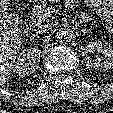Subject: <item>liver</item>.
I'll return each mask as SVG.
<instances>
[{"instance_id": "liver-1", "label": "liver", "mask_w": 113, "mask_h": 113, "mask_svg": "<svg viewBox=\"0 0 113 113\" xmlns=\"http://www.w3.org/2000/svg\"><path fill=\"white\" fill-rule=\"evenodd\" d=\"M8 1L0 0V86L11 78L22 44V38L15 31L7 15Z\"/></svg>"}]
</instances>
